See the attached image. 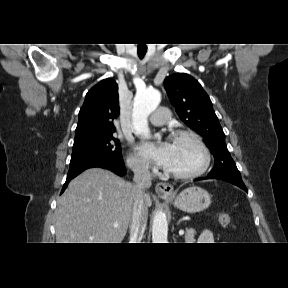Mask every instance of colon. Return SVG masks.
I'll return each instance as SVG.
<instances>
[{
  "instance_id": "1",
  "label": "colon",
  "mask_w": 288,
  "mask_h": 288,
  "mask_svg": "<svg viewBox=\"0 0 288 288\" xmlns=\"http://www.w3.org/2000/svg\"><path fill=\"white\" fill-rule=\"evenodd\" d=\"M218 223L220 227L227 228L231 225V217L226 212H220L218 214Z\"/></svg>"
}]
</instances>
